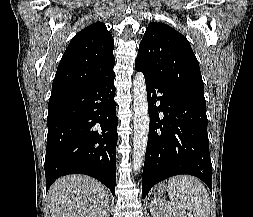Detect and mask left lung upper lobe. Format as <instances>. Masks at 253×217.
<instances>
[{"mask_svg": "<svg viewBox=\"0 0 253 217\" xmlns=\"http://www.w3.org/2000/svg\"><path fill=\"white\" fill-rule=\"evenodd\" d=\"M156 79L204 98V84L188 40L169 25L151 23L139 45L136 61Z\"/></svg>", "mask_w": 253, "mask_h": 217, "instance_id": "1", "label": "left lung upper lobe"}]
</instances>
